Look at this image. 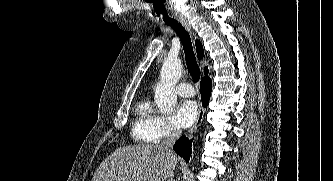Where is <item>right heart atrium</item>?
Instances as JSON below:
<instances>
[{
	"mask_svg": "<svg viewBox=\"0 0 333 181\" xmlns=\"http://www.w3.org/2000/svg\"><path fill=\"white\" fill-rule=\"evenodd\" d=\"M179 132V128L170 117L158 116L155 124V134L158 140L173 138Z\"/></svg>",
	"mask_w": 333,
	"mask_h": 181,
	"instance_id": "obj_1",
	"label": "right heart atrium"
}]
</instances>
